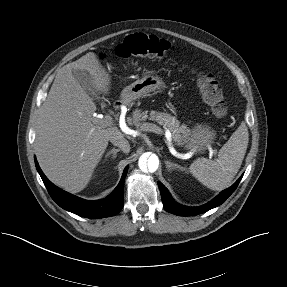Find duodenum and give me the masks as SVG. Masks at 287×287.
<instances>
[{
	"label": "duodenum",
	"instance_id": "1",
	"mask_svg": "<svg viewBox=\"0 0 287 287\" xmlns=\"http://www.w3.org/2000/svg\"><path fill=\"white\" fill-rule=\"evenodd\" d=\"M120 105H121V103H120V102H117V103H116V106H120Z\"/></svg>",
	"mask_w": 287,
	"mask_h": 287
}]
</instances>
